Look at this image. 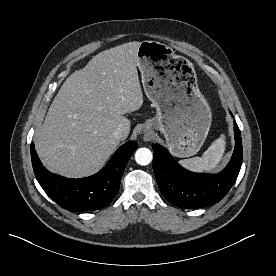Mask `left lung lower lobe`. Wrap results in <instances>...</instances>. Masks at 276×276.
I'll use <instances>...</instances> for the list:
<instances>
[{
    "instance_id": "1",
    "label": "left lung lower lobe",
    "mask_w": 276,
    "mask_h": 276,
    "mask_svg": "<svg viewBox=\"0 0 276 276\" xmlns=\"http://www.w3.org/2000/svg\"><path fill=\"white\" fill-rule=\"evenodd\" d=\"M235 149L226 168L216 175L183 169L160 145H153V170L163 196L181 208H200L219 202L235 183L242 164L241 134L234 122Z\"/></svg>"
}]
</instances>
